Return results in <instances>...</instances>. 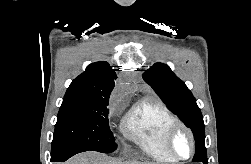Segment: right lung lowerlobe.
Here are the masks:
<instances>
[{
	"label": "right lung lower lobe",
	"mask_w": 251,
	"mask_h": 164,
	"mask_svg": "<svg viewBox=\"0 0 251 164\" xmlns=\"http://www.w3.org/2000/svg\"><path fill=\"white\" fill-rule=\"evenodd\" d=\"M82 152L80 149L76 148H68L62 149L55 153H51V162H65L67 159L72 157L73 155Z\"/></svg>",
	"instance_id": "98d812e1"
}]
</instances>
